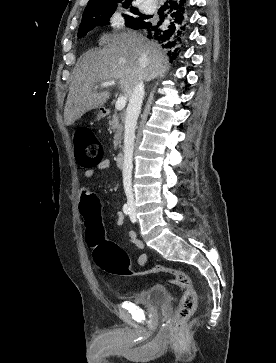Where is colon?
I'll list each match as a JSON object with an SVG mask.
<instances>
[{"mask_svg": "<svg viewBox=\"0 0 276 363\" xmlns=\"http://www.w3.org/2000/svg\"><path fill=\"white\" fill-rule=\"evenodd\" d=\"M75 152L82 166L93 167L103 159V148L89 128H79L74 135ZM87 243L93 247V260L104 271L128 276L131 259L128 254L116 243L104 238V229L101 225L98 212H93L87 219ZM159 273L170 275L174 282L183 289L182 299L177 307L173 324L178 325L183 319L189 317L197 306L198 291L192 277L185 271L164 266H156Z\"/></svg>", "mask_w": 276, "mask_h": 363, "instance_id": "5ec220e1", "label": "colon"}]
</instances>
